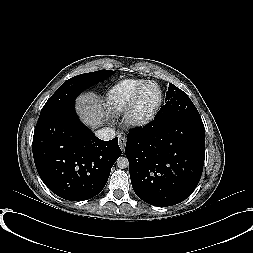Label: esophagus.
I'll return each instance as SVG.
<instances>
[{
	"instance_id": "esophagus-1",
	"label": "esophagus",
	"mask_w": 253,
	"mask_h": 253,
	"mask_svg": "<svg viewBox=\"0 0 253 253\" xmlns=\"http://www.w3.org/2000/svg\"><path fill=\"white\" fill-rule=\"evenodd\" d=\"M119 147L122 151H124L125 146H126V137L125 136H119Z\"/></svg>"
}]
</instances>
